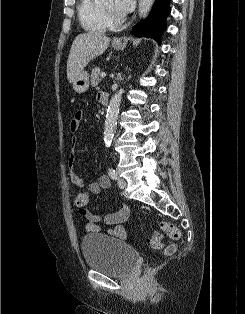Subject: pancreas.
<instances>
[{
  "label": "pancreas",
  "instance_id": "pancreas-1",
  "mask_svg": "<svg viewBox=\"0 0 245 314\" xmlns=\"http://www.w3.org/2000/svg\"><path fill=\"white\" fill-rule=\"evenodd\" d=\"M100 74H101V71L99 67H95L92 69L91 76H90L91 78L90 82L92 86H96L101 81Z\"/></svg>",
  "mask_w": 245,
  "mask_h": 314
}]
</instances>
